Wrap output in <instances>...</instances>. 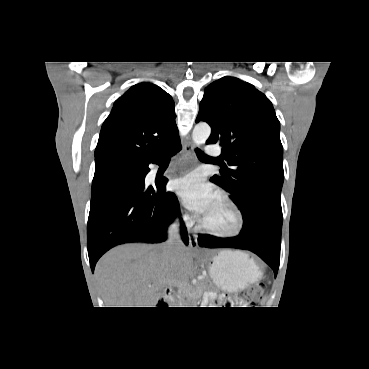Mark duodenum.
<instances>
[{
	"label": "duodenum",
	"mask_w": 369,
	"mask_h": 369,
	"mask_svg": "<svg viewBox=\"0 0 369 369\" xmlns=\"http://www.w3.org/2000/svg\"><path fill=\"white\" fill-rule=\"evenodd\" d=\"M164 298L166 301H172L173 300V290L171 288H168L164 292Z\"/></svg>",
	"instance_id": "duodenum-1"
}]
</instances>
